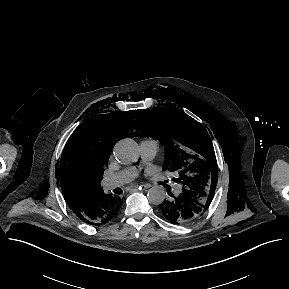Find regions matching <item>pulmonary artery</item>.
<instances>
[{"label": "pulmonary artery", "instance_id": "e3ab8cb5", "mask_svg": "<svg viewBox=\"0 0 289 289\" xmlns=\"http://www.w3.org/2000/svg\"><path fill=\"white\" fill-rule=\"evenodd\" d=\"M159 144L156 140L147 139L140 143L141 156L145 161H149L154 158L158 152ZM137 176V169L130 167L113 175L106 177L103 181V186L106 189H112L119 187Z\"/></svg>", "mask_w": 289, "mask_h": 289}]
</instances>
